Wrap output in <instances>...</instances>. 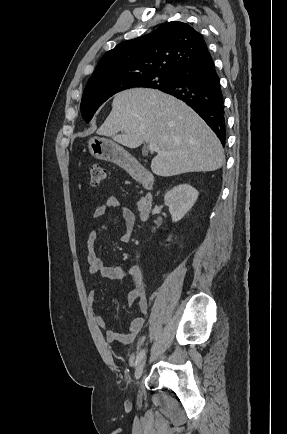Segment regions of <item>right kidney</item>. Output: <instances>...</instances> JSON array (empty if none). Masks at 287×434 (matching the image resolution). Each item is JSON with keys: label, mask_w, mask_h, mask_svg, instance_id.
<instances>
[{"label": "right kidney", "mask_w": 287, "mask_h": 434, "mask_svg": "<svg viewBox=\"0 0 287 434\" xmlns=\"http://www.w3.org/2000/svg\"><path fill=\"white\" fill-rule=\"evenodd\" d=\"M198 195V191L186 183L175 186L165 194V204L169 207L173 222L181 220L189 212Z\"/></svg>", "instance_id": "right-kidney-1"}]
</instances>
